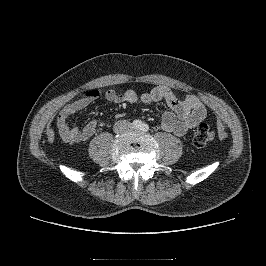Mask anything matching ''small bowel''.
Returning <instances> with one entry per match:
<instances>
[{
  "label": "small bowel",
  "instance_id": "1",
  "mask_svg": "<svg viewBox=\"0 0 266 266\" xmlns=\"http://www.w3.org/2000/svg\"><path fill=\"white\" fill-rule=\"evenodd\" d=\"M105 98L113 103H136L145 104L165 101L169 110L161 115V127L163 130L173 133L176 136H184L195 128L206 117L207 111L201 101L194 95L181 97L166 86H157L142 94L133 90L116 91L107 90ZM101 97V91L92 89L80 98L65 105L58 114L56 126L60 137L67 143H81L89 140L96 132L99 121L91 119L83 127L71 125L69 118L76 112L87 108L91 103ZM122 117V113H117Z\"/></svg>",
  "mask_w": 266,
  "mask_h": 266
}]
</instances>
